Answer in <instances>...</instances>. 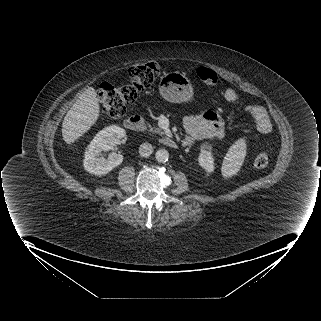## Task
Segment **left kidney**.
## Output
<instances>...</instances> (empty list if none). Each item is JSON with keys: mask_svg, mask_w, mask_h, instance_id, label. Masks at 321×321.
<instances>
[{"mask_svg": "<svg viewBox=\"0 0 321 321\" xmlns=\"http://www.w3.org/2000/svg\"><path fill=\"white\" fill-rule=\"evenodd\" d=\"M199 165L207 172H213L215 169L214 158L212 155L211 147L203 148L198 157Z\"/></svg>", "mask_w": 321, "mask_h": 321, "instance_id": "obj_1", "label": "left kidney"}]
</instances>
